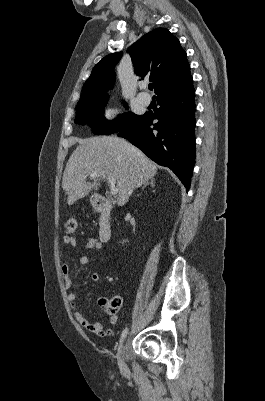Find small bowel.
Returning a JSON list of instances; mask_svg holds the SVG:
<instances>
[{"label":"small bowel","mask_w":265,"mask_h":401,"mask_svg":"<svg viewBox=\"0 0 265 401\" xmlns=\"http://www.w3.org/2000/svg\"><path fill=\"white\" fill-rule=\"evenodd\" d=\"M63 243L65 245L71 246L72 248H76V246H77L76 239L74 237L68 236V235L63 237ZM84 248L86 250L98 251L102 248V242L96 238H87L84 243ZM78 261L80 264L85 265V266H90L92 264L91 260L86 256H80L78 258ZM61 271H62V275L64 278L65 287L67 289L71 288V286H72V279H71L72 266H71V264L68 261H65L62 264ZM91 280L93 282H99L100 275L98 273H92ZM67 298L73 308L74 318L80 324L81 327L85 328L89 332L94 333L100 337H108V336L112 335V330L104 329L103 325L100 322L91 323L82 315V313L77 308V305H76L77 296L74 292H69L67 295ZM101 300L99 301V304H100ZM117 321H118L117 316H112L110 318V322L112 324L117 323Z\"/></svg>","instance_id":"1"}]
</instances>
